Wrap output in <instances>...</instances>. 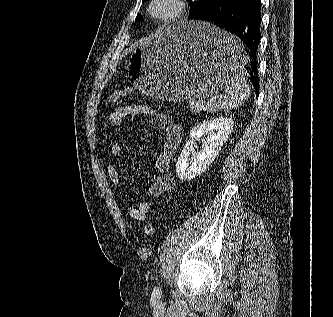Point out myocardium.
I'll return each mask as SVG.
<instances>
[{"label":"myocardium","instance_id":"obj_1","mask_svg":"<svg viewBox=\"0 0 333 317\" xmlns=\"http://www.w3.org/2000/svg\"><path fill=\"white\" fill-rule=\"evenodd\" d=\"M165 4L168 6L166 12L156 11L158 5ZM185 0H150L147 6V14L150 19L160 23H171L179 19L185 12Z\"/></svg>","mask_w":333,"mask_h":317}]
</instances>
